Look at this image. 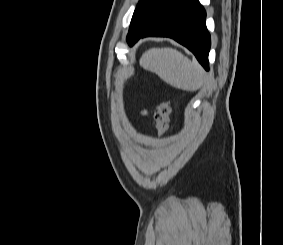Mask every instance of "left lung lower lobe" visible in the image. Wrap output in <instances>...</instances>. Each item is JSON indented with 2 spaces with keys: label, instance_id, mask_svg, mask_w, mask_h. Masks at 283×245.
<instances>
[{
  "label": "left lung lower lobe",
  "instance_id": "0a47b994",
  "mask_svg": "<svg viewBox=\"0 0 283 245\" xmlns=\"http://www.w3.org/2000/svg\"><path fill=\"white\" fill-rule=\"evenodd\" d=\"M206 12L198 0H174L170 7L146 31L130 44L147 36L170 37L194 53L209 70L210 34L205 25Z\"/></svg>",
  "mask_w": 283,
  "mask_h": 245
}]
</instances>
